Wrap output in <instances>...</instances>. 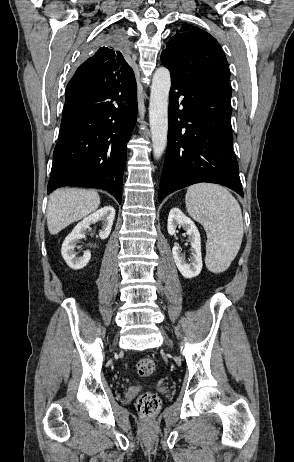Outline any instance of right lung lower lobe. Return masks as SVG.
I'll return each mask as SVG.
<instances>
[{
  "mask_svg": "<svg viewBox=\"0 0 294 462\" xmlns=\"http://www.w3.org/2000/svg\"><path fill=\"white\" fill-rule=\"evenodd\" d=\"M135 76L90 94L66 91L48 194L61 186L105 189L121 203L126 145L136 123Z\"/></svg>",
  "mask_w": 294,
  "mask_h": 462,
  "instance_id": "obj_1",
  "label": "right lung lower lobe"
}]
</instances>
